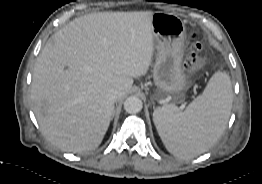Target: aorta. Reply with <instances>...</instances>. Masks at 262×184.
I'll return each mask as SVG.
<instances>
[{
    "label": "aorta",
    "mask_w": 262,
    "mask_h": 184,
    "mask_svg": "<svg viewBox=\"0 0 262 184\" xmlns=\"http://www.w3.org/2000/svg\"><path fill=\"white\" fill-rule=\"evenodd\" d=\"M143 103L141 99L136 96L128 97L124 102V109L127 113L135 114L142 110Z\"/></svg>",
    "instance_id": "1"
}]
</instances>
